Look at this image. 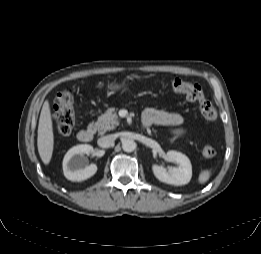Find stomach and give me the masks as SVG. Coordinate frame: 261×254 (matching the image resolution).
<instances>
[{
	"label": "stomach",
	"instance_id": "stomach-1",
	"mask_svg": "<svg viewBox=\"0 0 261 254\" xmlns=\"http://www.w3.org/2000/svg\"><path fill=\"white\" fill-rule=\"evenodd\" d=\"M121 88V85L116 84V83H112L108 85V89L111 91H117Z\"/></svg>",
	"mask_w": 261,
	"mask_h": 254
}]
</instances>
